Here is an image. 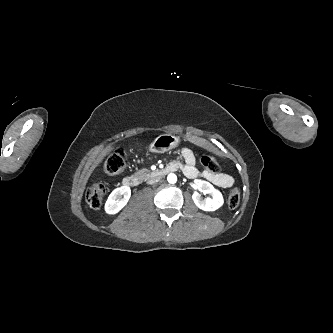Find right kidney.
<instances>
[{
	"label": "right kidney",
	"instance_id": "right-kidney-1",
	"mask_svg": "<svg viewBox=\"0 0 333 333\" xmlns=\"http://www.w3.org/2000/svg\"><path fill=\"white\" fill-rule=\"evenodd\" d=\"M130 196L131 190L128 186H122L113 190L105 203L106 213H118L127 204Z\"/></svg>",
	"mask_w": 333,
	"mask_h": 333
}]
</instances>
